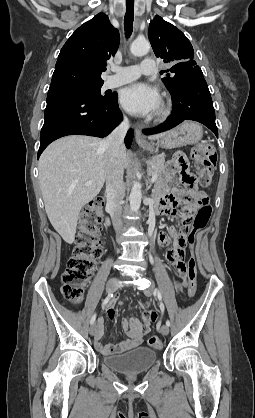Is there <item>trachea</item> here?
<instances>
[{"mask_svg":"<svg viewBox=\"0 0 255 418\" xmlns=\"http://www.w3.org/2000/svg\"><path fill=\"white\" fill-rule=\"evenodd\" d=\"M134 20V0H126V13L124 17V28L126 37L132 34Z\"/></svg>","mask_w":255,"mask_h":418,"instance_id":"1","label":"trachea"}]
</instances>
